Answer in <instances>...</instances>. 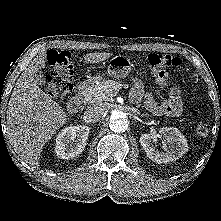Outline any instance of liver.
<instances>
[{
    "label": "liver",
    "instance_id": "6515ba94",
    "mask_svg": "<svg viewBox=\"0 0 221 221\" xmlns=\"http://www.w3.org/2000/svg\"><path fill=\"white\" fill-rule=\"evenodd\" d=\"M112 53H88L86 63H99ZM46 51L41 52L22 72L12 91L7 110V134L14 151L30 166H38L46 142L67 121L63 108L49 97L35 81V74L45 68Z\"/></svg>",
    "mask_w": 221,
    "mask_h": 221
}]
</instances>
